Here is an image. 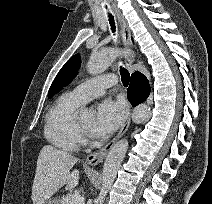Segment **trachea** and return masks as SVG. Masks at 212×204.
Returning <instances> with one entry per match:
<instances>
[{
    "instance_id": "trachea-1",
    "label": "trachea",
    "mask_w": 212,
    "mask_h": 204,
    "mask_svg": "<svg viewBox=\"0 0 212 204\" xmlns=\"http://www.w3.org/2000/svg\"><path fill=\"white\" fill-rule=\"evenodd\" d=\"M109 21H110V25H111V30L113 32H115V23H114V18L111 14H109ZM120 74H121V80H122V83L125 87L128 86L129 84V81H130V74L129 72L127 71V69L121 67L120 68Z\"/></svg>"
}]
</instances>
